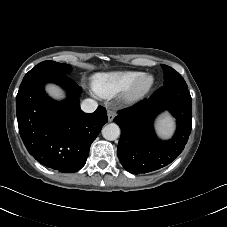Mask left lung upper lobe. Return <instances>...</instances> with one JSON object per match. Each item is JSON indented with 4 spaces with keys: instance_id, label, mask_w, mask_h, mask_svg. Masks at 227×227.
Here are the masks:
<instances>
[{
    "instance_id": "left-lung-upper-lobe-1",
    "label": "left lung upper lobe",
    "mask_w": 227,
    "mask_h": 227,
    "mask_svg": "<svg viewBox=\"0 0 227 227\" xmlns=\"http://www.w3.org/2000/svg\"><path fill=\"white\" fill-rule=\"evenodd\" d=\"M161 67L164 71V85L169 84H178V85H184L186 84L185 80L181 77V75L175 71L173 68L161 64Z\"/></svg>"
}]
</instances>
